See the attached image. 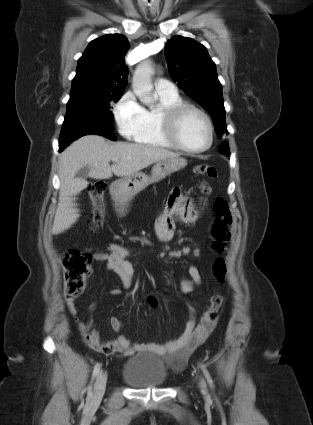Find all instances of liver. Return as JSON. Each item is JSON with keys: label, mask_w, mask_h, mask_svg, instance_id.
I'll use <instances>...</instances> for the list:
<instances>
[{"label": "liver", "mask_w": 313, "mask_h": 425, "mask_svg": "<svg viewBox=\"0 0 313 425\" xmlns=\"http://www.w3.org/2000/svg\"><path fill=\"white\" fill-rule=\"evenodd\" d=\"M178 156L177 153L151 145L124 142L109 144L98 135H86L74 141L60 156L59 202L52 233H63L80 217L74 200L88 182L75 178V175L84 166L90 168L89 176L94 179H109L113 174L128 177L153 163ZM113 159L118 162L110 166Z\"/></svg>", "instance_id": "1"}]
</instances>
